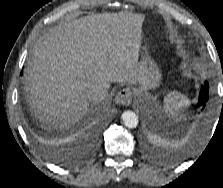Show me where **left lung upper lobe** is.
Returning <instances> with one entry per match:
<instances>
[{"label": "left lung upper lobe", "mask_w": 223, "mask_h": 188, "mask_svg": "<svg viewBox=\"0 0 223 188\" xmlns=\"http://www.w3.org/2000/svg\"><path fill=\"white\" fill-rule=\"evenodd\" d=\"M203 87L208 88V83L205 82V85Z\"/></svg>", "instance_id": "5c2ea615"}]
</instances>
